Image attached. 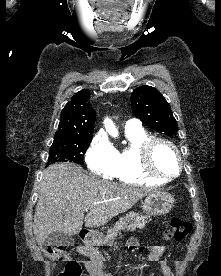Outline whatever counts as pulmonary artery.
Masks as SVG:
<instances>
[{"label":"pulmonary artery","mask_w":221,"mask_h":276,"mask_svg":"<svg viewBox=\"0 0 221 276\" xmlns=\"http://www.w3.org/2000/svg\"><path fill=\"white\" fill-rule=\"evenodd\" d=\"M141 128V123L137 119H131L126 122L125 129H139Z\"/></svg>","instance_id":"obj_1"}]
</instances>
